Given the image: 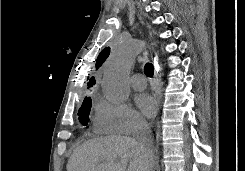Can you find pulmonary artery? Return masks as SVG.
<instances>
[{"label":"pulmonary artery","mask_w":245,"mask_h":171,"mask_svg":"<svg viewBox=\"0 0 245 171\" xmlns=\"http://www.w3.org/2000/svg\"><path fill=\"white\" fill-rule=\"evenodd\" d=\"M130 83L135 90H143L146 87V80L141 74L131 76Z\"/></svg>","instance_id":"obj_1"}]
</instances>
